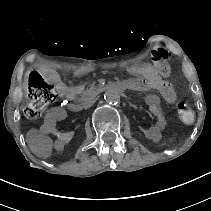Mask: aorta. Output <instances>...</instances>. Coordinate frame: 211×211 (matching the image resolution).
<instances>
[{
  "label": "aorta",
  "mask_w": 211,
  "mask_h": 211,
  "mask_svg": "<svg viewBox=\"0 0 211 211\" xmlns=\"http://www.w3.org/2000/svg\"><path fill=\"white\" fill-rule=\"evenodd\" d=\"M104 98L109 104H117L120 102V94L116 90L106 91Z\"/></svg>",
  "instance_id": "762f6f07"
}]
</instances>
